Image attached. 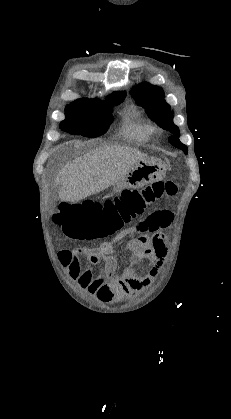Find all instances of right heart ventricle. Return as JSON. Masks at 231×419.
<instances>
[{
  "mask_svg": "<svg viewBox=\"0 0 231 419\" xmlns=\"http://www.w3.org/2000/svg\"><path fill=\"white\" fill-rule=\"evenodd\" d=\"M122 133L132 140L145 141L151 133V127L141 119L130 116L124 123Z\"/></svg>",
  "mask_w": 231,
  "mask_h": 419,
  "instance_id": "right-heart-ventricle-1",
  "label": "right heart ventricle"
}]
</instances>
